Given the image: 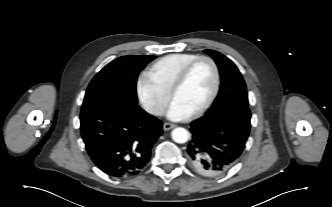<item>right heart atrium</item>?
I'll use <instances>...</instances> for the list:
<instances>
[{
  "mask_svg": "<svg viewBox=\"0 0 332 207\" xmlns=\"http://www.w3.org/2000/svg\"><path fill=\"white\" fill-rule=\"evenodd\" d=\"M137 93L144 109L153 116H160L170 99V93L157 85L147 74L139 77Z\"/></svg>",
  "mask_w": 332,
  "mask_h": 207,
  "instance_id": "obj_1",
  "label": "right heart atrium"
}]
</instances>
